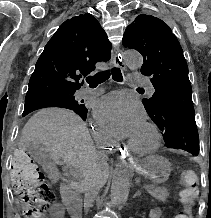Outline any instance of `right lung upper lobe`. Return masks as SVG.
<instances>
[{
    "label": "right lung upper lobe",
    "instance_id": "1",
    "mask_svg": "<svg viewBox=\"0 0 211 218\" xmlns=\"http://www.w3.org/2000/svg\"><path fill=\"white\" fill-rule=\"evenodd\" d=\"M111 43L90 14L65 21L46 44L29 81L25 102L80 88L79 78L108 61Z\"/></svg>",
    "mask_w": 211,
    "mask_h": 218
}]
</instances>
